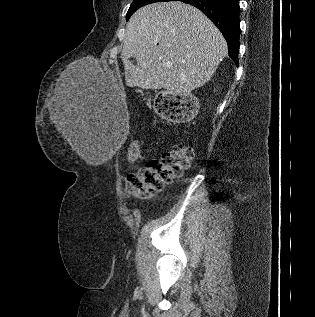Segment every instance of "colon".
Segmentation results:
<instances>
[{
    "label": "colon",
    "instance_id": "obj_1",
    "mask_svg": "<svg viewBox=\"0 0 315 317\" xmlns=\"http://www.w3.org/2000/svg\"><path fill=\"white\" fill-rule=\"evenodd\" d=\"M157 113L170 121L191 119L196 111L193 97L163 92L156 96ZM194 156L193 149L185 144L175 145L160 159L148 161L137 171L130 173L127 179V191L138 198L149 197L161 191L166 184L182 175ZM140 157V144L133 142L128 148V158L136 161Z\"/></svg>",
    "mask_w": 315,
    "mask_h": 317
}]
</instances>
